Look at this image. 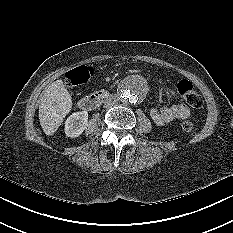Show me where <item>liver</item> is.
<instances>
[{
    "label": "liver",
    "instance_id": "liver-1",
    "mask_svg": "<svg viewBox=\"0 0 233 233\" xmlns=\"http://www.w3.org/2000/svg\"><path fill=\"white\" fill-rule=\"evenodd\" d=\"M72 98L62 80L51 83L44 91L39 105V121L44 133L53 135L71 111Z\"/></svg>",
    "mask_w": 233,
    "mask_h": 233
}]
</instances>
